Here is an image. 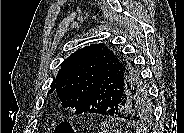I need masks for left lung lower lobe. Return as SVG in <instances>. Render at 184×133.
Wrapping results in <instances>:
<instances>
[{
    "label": "left lung lower lobe",
    "instance_id": "obj_1",
    "mask_svg": "<svg viewBox=\"0 0 184 133\" xmlns=\"http://www.w3.org/2000/svg\"><path fill=\"white\" fill-rule=\"evenodd\" d=\"M98 74L89 93L90 98L83 101L76 109L75 114L96 113L113 118H120L134 124V116L128 112L135 106L133 98L137 93L145 92L140 84L141 77H136V86L128 85L120 70L114 67V63L108 59L104 51L98 60ZM94 96V99L91 97ZM137 128L138 125L134 124Z\"/></svg>",
    "mask_w": 184,
    "mask_h": 133
}]
</instances>
